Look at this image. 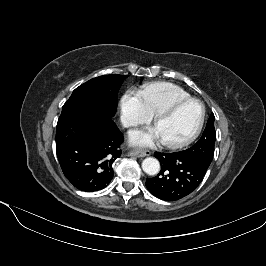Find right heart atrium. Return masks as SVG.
Listing matches in <instances>:
<instances>
[{
  "instance_id": "1",
  "label": "right heart atrium",
  "mask_w": 266,
  "mask_h": 266,
  "mask_svg": "<svg viewBox=\"0 0 266 266\" xmlns=\"http://www.w3.org/2000/svg\"><path fill=\"white\" fill-rule=\"evenodd\" d=\"M121 122L125 127H134L148 123L152 119L141 92L129 89L120 102Z\"/></svg>"
}]
</instances>
